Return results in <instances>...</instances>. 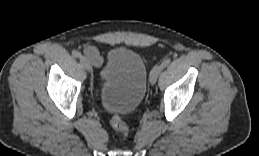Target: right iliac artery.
<instances>
[{"instance_id":"right-iliac-artery-1","label":"right iliac artery","mask_w":259,"mask_h":156,"mask_svg":"<svg viewBox=\"0 0 259 156\" xmlns=\"http://www.w3.org/2000/svg\"><path fill=\"white\" fill-rule=\"evenodd\" d=\"M72 55H73L74 57H76V58L81 57V53L78 52V51H75V50L72 52Z\"/></svg>"}]
</instances>
